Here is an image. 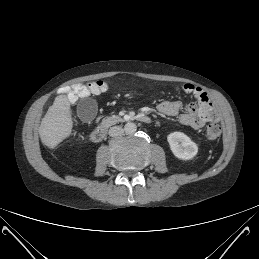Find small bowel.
I'll list each match as a JSON object with an SVG mask.
<instances>
[{
    "label": "small bowel",
    "instance_id": "c3829d8e",
    "mask_svg": "<svg viewBox=\"0 0 259 259\" xmlns=\"http://www.w3.org/2000/svg\"><path fill=\"white\" fill-rule=\"evenodd\" d=\"M197 99L199 105L190 103L187 105L186 111L183 113H180L182 109V103L178 100L162 101L157 105V109L160 113L167 116L178 115L179 122L184 126H188L193 129H200L206 124V122L216 121L218 119V115L214 110L213 113H208L205 109V102L201 101L199 98Z\"/></svg>",
    "mask_w": 259,
    "mask_h": 259
}]
</instances>
